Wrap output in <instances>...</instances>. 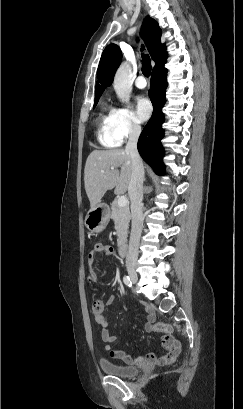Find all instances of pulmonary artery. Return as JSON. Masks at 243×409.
Listing matches in <instances>:
<instances>
[{
  "label": "pulmonary artery",
  "mask_w": 243,
  "mask_h": 409,
  "mask_svg": "<svg viewBox=\"0 0 243 409\" xmlns=\"http://www.w3.org/2000/svg\"><path fill=\"white\" fill-rule=\"evenodd\" d=\"M135 86L139 89H144L147 86V81L143 75H140L136 78Z\"/></svg>",
  "instance_id": "obj_1"
}]
</instances>
